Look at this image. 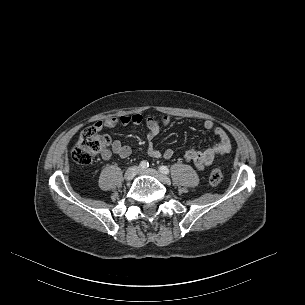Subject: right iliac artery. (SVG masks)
I'll use <instances>...</instances> for the list:
<instances>
[{"label": "right iliac artery", "mask_w": 305, "mask_h": 305, "mask_svg": "<svg viewBox=\"0 0 305 305\" xmlns=\"http://www.w3.org/2000/svg\"><path fill=\"white\" fill-rule=\"evenodd\" d=\"M140 167H141L142 169H146V168L149 167V163H148L147 161H142V162L140 163Z\"/></svg>", "instance_id": "1"}]
</instances>
